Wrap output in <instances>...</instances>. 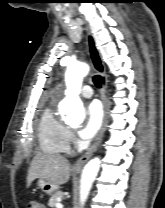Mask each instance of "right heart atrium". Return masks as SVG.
Masks as SVG:
<instances>
[{"label":"right heart atrium","mask_w":165,"mask_h":208,"mask_svg":"<svg viewBox=\"0 0 165 208\" xmlns=\"http://www.w3.org/2000/svg\"><path fill=\"white\" fill-rule=\"evenodd\" d=\"M70 141L74 142V137L71 133H70Z\"/></svg>","instance_id":"d8ad5b80"}]
</instances>
